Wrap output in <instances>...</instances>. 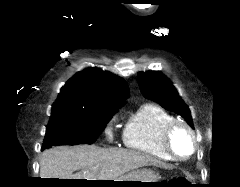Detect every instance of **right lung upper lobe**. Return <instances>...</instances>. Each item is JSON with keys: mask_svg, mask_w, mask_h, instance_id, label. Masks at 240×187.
Segmentation results:
<instances>
[{"mask_svg": "<svg viewBox=\"0 0 240 187\" xmlns=\"http://www.w3.org/2000/svg\"><path fill=\"white\" fill-rule=\"evenodd\" d=\"M128 94V85L120 77L91 68L77 73L61 88L52 108L112 111L124 104Z\"/></svg>", "mask_w": 240, "mask_h": 187, "instance_id": "1", "label": "right lung upper lobe"}]
</instances>
